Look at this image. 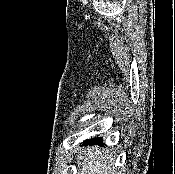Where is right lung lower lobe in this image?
I'll list each match as a JSON object with an SVG mask.
<instances>
[{
  "label": "right lung lower lobe",
  "instance_id": "1",
  "mask_svg": "<svg viewBox=\"0 0 175 174\" xmlns=\"http://www.w3.org/2000/svg\"><path fill=\"white\" fill-rule=\"evenodd\" d=\"M101 143H102V138H94L91 141H88V144H101ZM85 144H87V142Z\"/></svg>",
  "mask_w": 175,
  "mask_h": 174
}]
</instances>
